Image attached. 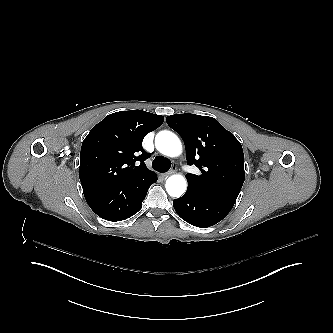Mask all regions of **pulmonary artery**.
Returning <instances> with one entry per match:
<instances>
[{"label":"pulmonary artery","instance_id":"obj_1","mask_svg":"<svg viewBox=\"0 0 333 333\" xmlns=\"http://www.w3.org/2000/svg\"><path fill=\"white\" fill-rule=\"evenodd\" d=\"M183 170H184V173H185V174H188V175H189V174H192V173H193V170H194V169H193V166H192V165H189V164H188V165H185V166H184V169H183Z\"/></svg>","mask_w":333,"mask_h":333}]
</instances>
